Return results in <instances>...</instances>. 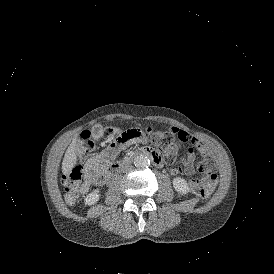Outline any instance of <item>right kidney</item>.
Returning a JSON list of instances; mask_svg holds the SVG:
<instances>
[{
	"instance_id": "1",
	"label": "right kidney",
	"mask_w": 274,
	"mask_h": 274,
	"mask_svg": "<svg viewBox=\"0 0 274 274\" xmlns=\"http://www.w3.org/2000/svg\"><path fill=\"white\" fill-rule=\"evenodd\" d=\"M100 198L99 189L93 190L90 194H88L85 198L86 205H94Z\"/></svg>"
}]
</instances>
